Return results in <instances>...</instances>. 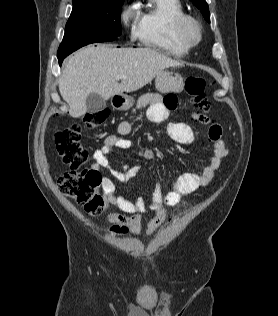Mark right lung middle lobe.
Masks as SVG:
<instances>
[{"mask_svg":"<svg viewBox=\"0 0 278 316\" xmlns=\"http://www.w3.org/2000/svg\"><path fill=\"white\" fill-rule=\"evenodd\" d=\"M124 0H73V9L58 49V57L90 43L115 40L121 35L120 11Z\"/></svg>","mask_w":278,"mask_h":316,"instance_id":"obj_1","label":"right lung middle lobe"}]
</instances>
